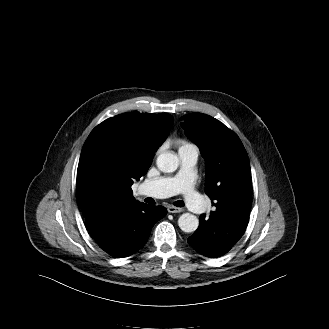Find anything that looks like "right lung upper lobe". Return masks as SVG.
<instances>
[{
	"label": "right lung upper lobe",
	"instance_id": "right-lung-upper-lobe-1",
	"mask_svg": "<svg viewBox=\"0 0 329 329\" xmlns=\"http://www.w3.org/2000/svg\"><path fill=\"white\" fill-rule=\"evenodd\" d=\"M172 123L173 117L167 113H124L92 130L77 170L84 216L104 206L136 202L131 186L147 173Z\"/></svg>",
	"mask_w": 329,
	"mask_h": 329
}]
</instances>
